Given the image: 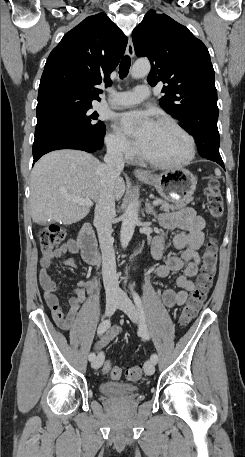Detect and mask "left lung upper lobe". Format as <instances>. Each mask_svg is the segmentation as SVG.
Masks as SVG:
<instances>
[{
  "mask_svg": "<svg viewBox=\"0 0 245 457\" xmlns=\"http://www.w3.org/2000/svg\"><path fill=\"white\" fill-rule=\"evenodd\" d=\"M138 57H148V82L162 81L160 106L182 122V128L202 117L218 119L214 69L208 49L187 27L166 14L148 11L133 30Z\"/></svg>",
  "mask_w": 245,
  "mask_h": 457,
  "instance_id": "1",
  "label": "left lung upper lobe"
}]
</instances>
